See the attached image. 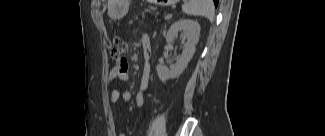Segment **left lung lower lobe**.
Returning <instances> with one entry per match:
<instances>
[{
  "instance_id": "left-lung-lower-lobe-1",
  "label": "left lung lower lobe",
  "mask_w": 325,
  "mask_h": 136,
  "mask_svg": "<svg viewBox=\"0 0 325 136\" xmlns=\"http://www.w3.org/2000/svg\"><path fill=\"white\" fill-rule=\"evenodd\" d=\"M214 3H215V6L217 7V4H218V0H213Z\"/></svg>"
}]
</instances>
